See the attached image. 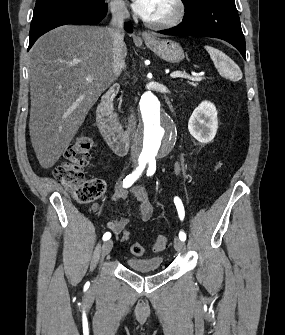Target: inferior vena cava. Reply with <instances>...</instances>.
<instances>
[{
  "label": "inferior vena cava",
  "mask_w": 285,
  "mask_h": 335,
  "mask_svg": "<svg viewBox=\"0 0 285 335\" xmlns=\"http://www.w3.org/2000/svg\"><path fill=\"white\" fill-rule=\"evenodd\" d=\"M110 12L112 14V20L109 24V28H107L108 32H111L113 36V68L115 74H120L122 72V68H125V60L122 56V50L125 48V44L123 42L124 38V20L129 18V12L121 2V0H112L109 4ZM129 122V132L132 134V138H135L134 134H136V118L135 114H130V118H128ZM132 152L135 150V144L131 146Z\"/></svg>",
  "instance_id": "inferior-vena-cava-1"
}]
</instances>
